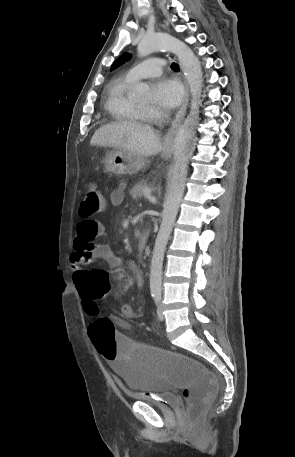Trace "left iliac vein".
Returning <instances> with one entry per match:
<instances>
[{
    "instance_id": "4c4485c4",
    "label": "left iliac vein",
    "mask_w": 295,
    "mask_h": 457,
    "mask_svg": "<svg viewBox=\"0 0 295 457\" xmlns=\"http://www.w3.org/2000/svg\"><path fill=\"white\" fill-rule=\"evenodd\" d=\"M157 317L160 321H163L165 319L164 317V314H163V311H162V307L161 305H158V308H157Z\"/></svg>"
}]
</instances>
